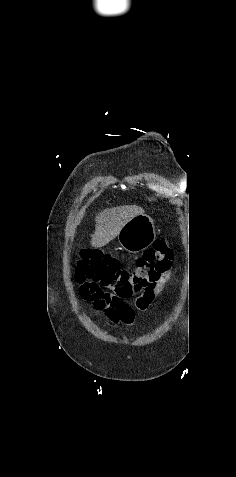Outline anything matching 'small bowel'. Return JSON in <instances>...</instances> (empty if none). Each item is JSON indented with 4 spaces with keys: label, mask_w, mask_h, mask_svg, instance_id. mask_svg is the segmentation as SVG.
Wrapping results in <instances>:
<instances>
[{
    "label": "small bowel",
    "mask_w": 236,
    "mask_h": 477,
    "mask_svg": "<svg viewBox=\"0 0 236 477\" xmlns=\"http://www.w3.org/2000/svg\"><path fill=\"white\" fill-rule=\"evenodd\" d=\"M160 289L161 287L155 291L145 293L144 295L137 298L135 301L136 308L140 311H147L150 308L155 295L157 294V292H159ZM94 308L98 311L103 312L105 317L114 323H123L128 326H131L133 324L134 312L132 308L122 313L118 309H114L106 304H104L102 307L94 306Z\"/></svg>",
    "instance_id": "small-bowel-1"
}]
</instances>
